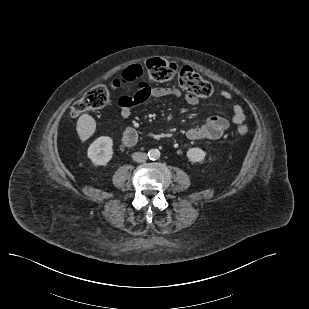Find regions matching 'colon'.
<instances>
[{
    "mask_svg": "<svg viewBox=\"0 0 309 309\" xmlns=\"http://www.w3.org/2000/svg\"><path fill=\"white\" fill-rule=\"evenodd\" d=\"M144 67L145 71L155 81L165 82L177 77L180 87L187 94L197 98H208L213 93L212 85L189 66L178 67L173 62L154 58L147 61ZM127 75L132 80L137 79L142 75L141 67L137 65L128 67ZM108 101V89L104 85L94 86L85 93L81 100L73 105L71 114L76 118L86 111L104 107ZM237 132L245 135L248 132V128L246 125H239Z\"/></svg>",
    "mask_w": 309,
    "mask_h": 309,
    "instance_id": "5ec220e1",
    "label": "colon"
}]
</instances>
